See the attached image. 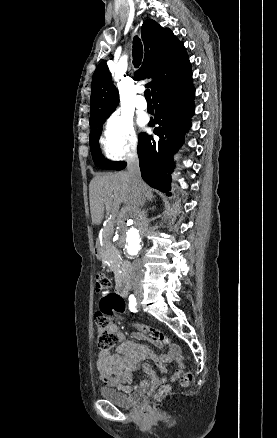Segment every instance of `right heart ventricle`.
Listing matches in <instances>:
<instances>
[{
    "label": "right heart ventricle",
    "mask_w": 277,
    "mask_h": 438,
    "mask_svg": "<svg viewBox=\"0 0 277 438\" xmlns=\"http://www.w3.org/2000/svg\"><path fill=\"white\" fill-rule=\"evenodd\" d=\"M106 149H107V155L110 158H116L118 156L107 142H106Z\"/></svg>",
    "instance_id": "1"
}]
</instances>
